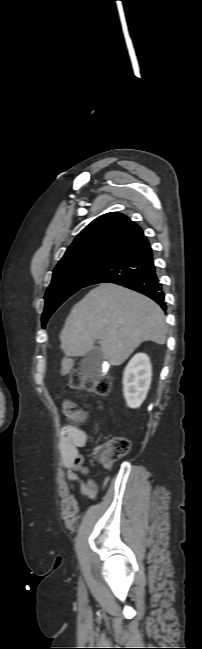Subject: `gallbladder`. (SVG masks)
Returning <instances> with one entry per match:
<instances>
[{
    "instance_id": "bac80fb5",
    "label": "gallbladder",
    "mask_w": 202,
    "mask_h": 649,
    "mask_svg": "<svg viewBox=\"0 0 202 649\" xmlns=\"http://www.w3.org/2000/svg\"><path fill=\"white\" fill-rule=\"evenodd\" d=\"M82 372L89 378H97L103 371V354L101 347L94 345L80 362Z\"/></svg>"
}]
</instances>
